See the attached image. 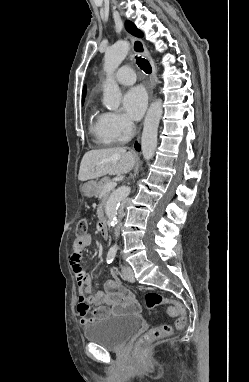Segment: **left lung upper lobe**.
<instances>
[{
    "label": "left lung upper lobe",
    "instance_id": "obj_1",
    "mask_svg": "<svg viewBox=\"0 0 249 382\" xmlns=\"http://www.w3.org/2000/svg\"><path fill=\"white\" fill-rule=\"evenodd\" d=\"M126 29L132 35L142 37V32L140 30H138L132 22H130V21L126 22Z\"/></svg>",
    "mask_w": 249,
    "mask_h": 382
}]
</instances>
